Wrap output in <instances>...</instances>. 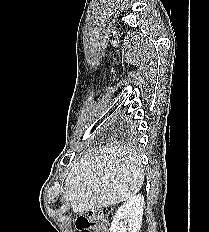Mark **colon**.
<instances>
[{
  "instance_id": "obj_1",
  "label": "colon",
  "mask_w": 209,
  "mask_h": 232,
  "mask_svg": "<svg viewBox=\"0 0 209 232\" xmlns=\"http://www.w3.org/2000/svg\"><path fill=\"white\" fill-rule=\"evenodd\" d=\"M109 215L106 207L86 211L76 218V227L80 232H106Z\"/></svg>"
}]
</instances>
